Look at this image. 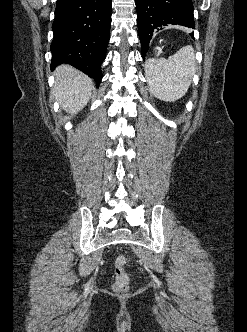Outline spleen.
<instances>
[{
	"instance_id": "spleen-1",
	"label": "spleen",
	"mask_w": 247,
	"mask_h": 332,
	"mask_svg": "<svg viewBox=\"0 0 247 332\" xmlns=\"http://www.w3.org/2000/svg\"><path fill=\"white\" fill-rule=\"evenodd\" d=\"M195 70L192 46L182 47L168 59H151L146 65L149 90L160 100L174 102L187 92Z\"/></svg>"
}]
</instances>
